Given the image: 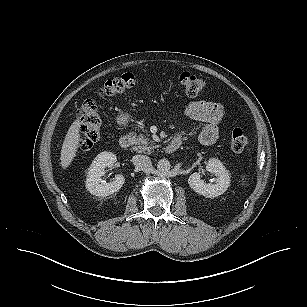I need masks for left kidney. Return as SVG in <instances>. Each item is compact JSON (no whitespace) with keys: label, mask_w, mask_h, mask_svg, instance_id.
Listing matches in <instances>:
<instances>
[{"label":"left kidney","mask_w":307,"mask_h":307,"mask_svg":"<svg viewBox=\"0 0 307 307\" xmlns=\"http://www.w3.org/2000/svg\"><path fill=\"white\" fill-rule=\"evenodd\" d=\"M206 170L213 173L216 178L209 183L201 179L200 173H193L189 179V186L198 194L214 198L223 194L229 187L230 175L220 160L212 158L208 161Z\"/></svg>","instance_id":"obj_1"}]
</instances>
